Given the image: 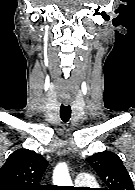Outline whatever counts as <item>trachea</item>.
Segmentation results:
<instances>
[{"instance_id": "obj_1", "label": "trachea", "mask_w": 135, "mask_h": 190, "mask_svg": "<svg viewBox=\"0 0 135 190\" xmlns=\"http://www.w3.org/2000/svg\"><path fill=\"white\" fill-rule=\"evenodd\" d=\"M60 117L63 122H68L71 117V107L70 105L62 104L60 107Z\"/></svg>"}]
</instances>
